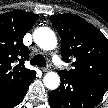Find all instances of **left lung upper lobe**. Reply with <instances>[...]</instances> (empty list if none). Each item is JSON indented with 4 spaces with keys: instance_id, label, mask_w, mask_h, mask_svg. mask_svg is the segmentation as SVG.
I'll use <instances>...</instances> for the list:
<instances>
[{
    "instance_id": "obj_1",
    "label": "left lung upper lobe",
    "mask_w": 108,
    "mask_h": 108,
    "mask_svg": "<svg viewBox=\"0 0 108 108\" xmlns=\"http://www.w3.org/2000/svg\"><path fill=\"white\" fill-rule=\"evenodd\" d=\"M51 22L61 37L62 58L73 66L58 73L108 82V39L77 15H53Z\"/></svg>"
}]
</instances>
